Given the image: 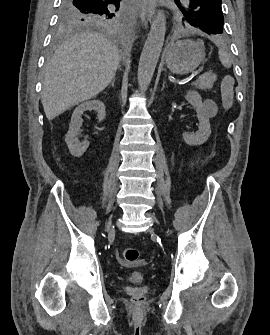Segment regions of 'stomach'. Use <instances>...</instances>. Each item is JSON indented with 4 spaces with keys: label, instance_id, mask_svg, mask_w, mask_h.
Listing matches in <instances>:
<instances>
[{
    "label": "stomach",
    "instance_id": "1",
    "mask_svg": "<svg viewBox=\"0 0 270 335\" xmlns=\"http://www.w3.org/2000/svg\"><path fill=\"white\" fill-rule=\"evenodd\" d=\"M205 58L204 44L201 40H177L165 50L167 68L173 74H189L196 70Z\"/></svg>",
    "mask_w": 270,
    "mask_h": 335
}]
</instances>
